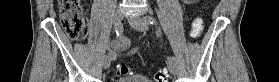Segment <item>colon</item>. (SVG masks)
Masks as SVG:
<instances>
[{
  "label": "colon",
  "mask_w": 279,
  "mask_h": 82,
  "mask_svg": "<svg viewBox=\"0 0 279 82\" xmlns=\"http://www.w3.org/2000/svg\"><path fill=\"white\" fill-rule=\"evenodd\" d=\"M83 2L82 0H57L62 26L67 35L74 41L83 40L88 31L86 18L84 16ZM203 28V19L196 17L191 23V37L198 38ZM115 72L118 76H125L132 72V68L121 65L116 68ZM167 80L168 74L165 70L155 72V82H167Z\"/></svg>",
  "instance_id": "1"
}]
</instances>
